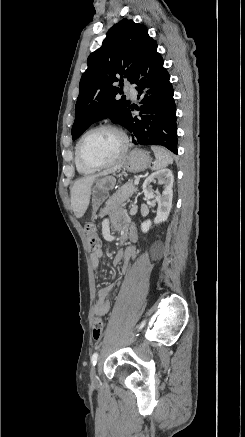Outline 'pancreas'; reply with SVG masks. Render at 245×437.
<instances>
[{
    "mask_svg": "<svg viewBox=\"0 0 245 437\" xmlns=\"http://www.w3.org/2000/svg\"><path fill=\"white\" fill-rule=\"evenodd\" d=\"M136 191L137 188L134 187L133 180H129L106 201V206L101 210L100 216L102 217L110 211L122 206Z\"/></svg>",
    "mask_w": 245,
    "mask_h": 437,
    "instance_id": "cf45deb5",
    "label": "pancreas"
}]
</instances>
